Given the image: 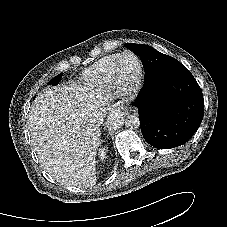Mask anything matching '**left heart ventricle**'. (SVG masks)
<instances>
[{"instance_id":"left-heart-ventricle-1","label":"left heart ventricle","mask_w":227,"mask_h":227,"mask_svg":"<svg viewBox=\"0 0 227 227\" xmlns=\"http://www.w3.org/2000/svg\"><path fill=\"white\" fill-rule=\"evenodd\" d=\"M137 73V63L131 56L122 59L119 65V77L123 83H129L133 80Z\"/></svg>"}]
</instances>
